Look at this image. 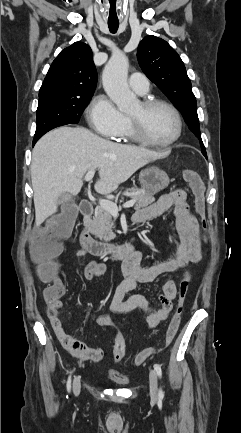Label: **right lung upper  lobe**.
Instances as JSON below:
<instances>
[{
	"label": "right lung upper lobe",
	"instance_id": "cb5924a9",
	"mask_svg": "<svg viewBox=\"0 0 241 433\" xmlns=\"http://www.w3.org/2000/svg\"><path fill=\"white\" fill-rule=\"evenodd\" d=\"M97 72L91 48L75 42L53 61L39 90V100L51 97L84 98L93 96Z\"/></svg>",
	"mask_w": 241,
	"mask_h": 433
}]
</instances>
